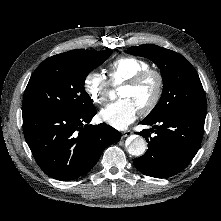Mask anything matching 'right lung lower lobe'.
Returning a JSON list of instances; mask_svg holds the SVG:
<instances>
[{"instance_id": "98d812e1", "label": "right lung lower lobe", "mask_w": 221, "mask_h": 221, "mask_svg": "<svg viewBox=\"0 0 221 221\" xmlns=\"http://www.w3.org/2000/svg\"><path fill=\"white\" fill-rule=\"evenodd\" d=\"M96 108L81 114L23 112V131L35 161L48 176L73 180L91 170L103 150L120 140L113 127L89 122Z\"/></svg>"}]
</instances>
